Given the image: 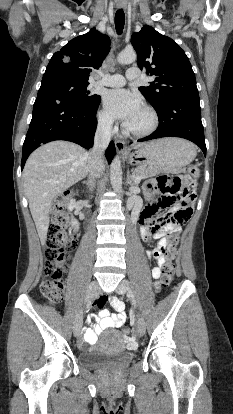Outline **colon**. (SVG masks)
<instances>
[{
  "label": "colon",
  "instance_id": "5ec220e1",
  "mask_svg": "<svg viewBox=\"0 0 233 414\" xmlns=\"http://www.w3.org/2000/svg\"><path fill=\"white\" fill-rule=\"evenodd\" d=\"M199 176V169L194 164L190 167L189 176L186 178L179 176L160 175L147 184L150 192L160 191L161 199L152 206L155 214L158 209L167 208L175 204L178 210L175 218L182 224L186 223L193 212L196 199V180ZM65 198L57 199L50 208L51 222L46 236V265L45 275L40 283L41 293L48 299L58 302L64 296V274L66 272V262L69 258V251L74 246V239L66 232L67 214L65 212ZM178 247V237L172 235L167 238L163 254L167 259L163 267L160 281L155 284V288L160 290L169 286L175 275V267L172 263ZM125 335H129L130 329H123Z\"/></svg>",
  "mask_w": 233,
  "mask_h": 414
}]
</instances>
